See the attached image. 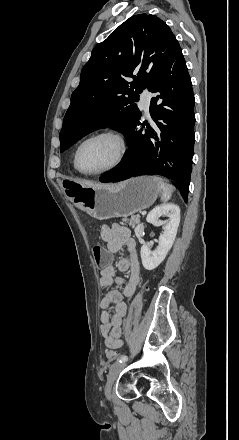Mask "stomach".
<instances>
[{"mask_svg": "<svg viewBox=\"0 0 239 440\" xmlns=\"http://www.w3.org/2000/svg\"><path fill=\"white\" fill-rule=\"evenodd\" d=\"M70 198L83 212L96 220L127 218L154 204L162 190L151 176L130 178L119 184L88 188L71 182Z\"/></svg>", "mask_w": 239, "mask_h": 440, "instance_id": "obj_1", "label": "stomach"}]
</instances>
